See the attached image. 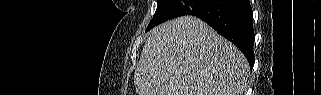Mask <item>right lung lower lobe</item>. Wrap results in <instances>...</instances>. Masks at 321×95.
Segmentation results:
<instances>
[{
  "instance_id": "1",
  "label": "right lung lower lobe",
  "mask_w": 321,
  "mask_h": 95,
  "mask_svg": "<svg viewBox=\"0 0 321 95\" xmlns=\"http://www.w3.org/2000/svg\"><path fill=\"white\" fill-rule=\"evenodd\" d=\"M190 15L199 17L235 44L253 68L254 30L249 0H210Z\"/></svg>"
}]
</instances>
